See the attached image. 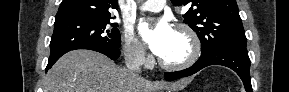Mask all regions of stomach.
Wrapping results in <instances>:
<instances>
[{
  "mask_svg": "<svg viewBox=\"0 0 289 92\" xmlns=\"http://www.w3.org/2000/svg\"><path fill=\"white\" fill-rule=\"evenodd\" d=\"M177 90H174V91H168V92H176Z\"/></svg>",
  "mask_w": 289,
  "mask_h": 92,
  "instance_id": "1",
  "label": "stomach"
}]
</instances>
